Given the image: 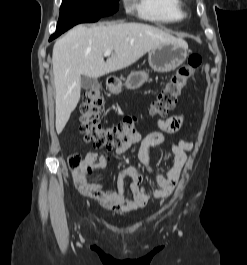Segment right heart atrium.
<instances>
[{"label": "right heart atrium", "instance_id": "obj_1", "mask_svg": "<svg viewBox=\"0 0 247 265\" xmlns=\"http://www.w3.org/2000/svg\"><path fill=\"white\" fill-rule=\"evenodd\" d=\"M130 0H124L125 5L127 6Z\"/></svg>", "mask_w": 247, "mask_h": 265}]
</instances>
